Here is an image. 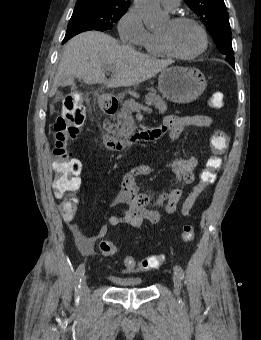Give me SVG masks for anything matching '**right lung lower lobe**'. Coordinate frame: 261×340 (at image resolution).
Returning a JSON list of instances; mask_svg holds the SVG:
<instances>
[{
  "label": "right lung lower lobe",
  "instance_id": "98d812e1",
  "mask_svg": "<svg viewBox=\"0 0 261 340\" xmlns=\"http://www.w3.org/2000/svg\"><path fill=\"white\" fill-rule=\"evenodd\" d=\"M89 30H94V29L89 28V27H83V26H76V27L68 28L67 31H66L65 38H64L62 43L64 44L65 42H67L70 38H72L76 34H79V33L84 32V31H89Z\"/></svg>",
  "mask_w": 261,
  "mask_h": 340
}]
</instances>
